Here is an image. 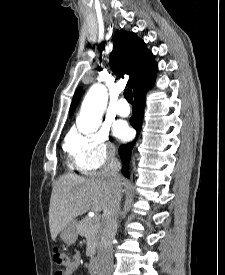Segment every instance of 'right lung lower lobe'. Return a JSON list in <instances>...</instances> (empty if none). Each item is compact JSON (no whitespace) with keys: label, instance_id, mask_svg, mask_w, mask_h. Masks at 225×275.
Masks as SVG:
<instances>
[{"label":"right lung lower lobe","instance_id":"obj_1","mask_svg":"<svg viewBox=\"0 0 225 275\" xmlns=\"http://www.w3.org/2000/svg\"><path fill=\"white\" fill-rule=\"evenodd\" d=\"M155 80V76L149 78V80L145 83L142 89H140L135 97V106L133 107V115L130 118L131 125L137 130L139 133L142 127L143 115H144V106H145V95L150 87L153 86ZM138 136V135H137ZM137 138L128 144H122L119 147V154L122 159L123 169L122 172L126 177H129L128 172V163L130 160L131 151L133 146L135 145Z\"/></svg>","mask_w":225,"mask_h":275}]
</instances>
